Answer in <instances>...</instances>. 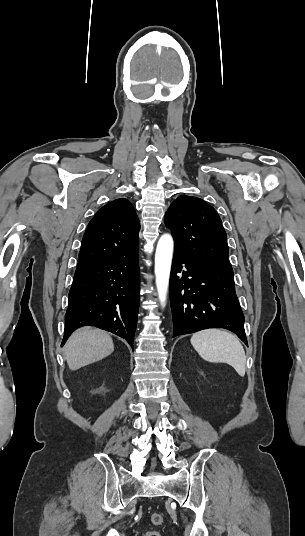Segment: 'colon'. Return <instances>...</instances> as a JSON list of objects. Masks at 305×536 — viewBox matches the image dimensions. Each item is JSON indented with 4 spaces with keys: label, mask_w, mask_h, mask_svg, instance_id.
I'll return each instance as SVG.
<instances>
[{
    "label": "colon",
    "mask_w": 305,
    "mask_h": 536,
    "mask_svg": "<svg viewBox=\"0 0 305 536\" xmlns=\"http://www.w3.org/2000/svg\"><path fill=\"white\" fill-rule=\"evenodd\" d=\"M150 521L154 525H161L164 521V518L162 514L152 513L150 516ZM145 536H160V534L155 531H148Z\"/></svg>",
    "instance_id": "1"
}]
</instances>
